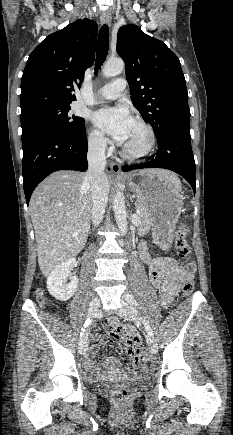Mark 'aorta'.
I'll list each match as a JSON object with an SVG mask.
<instances>
[{"mask_svg":"<svg viewBox=\"0 0 233 435\" xmlns=\"http://www.w3.org/2000/svg\"><path fill=\"white\" fill-rule=\"evenodd\" d=\"M124 70V62L122 59L108 60L103 68L104 77H113L119 75ZM113 209L117 226L122 235L127 233V212L125 206V197L123 192L119 189L116 191L113 202Z\"/></svg>","mask_w":233,"mask_h":435,"instance_id":"aorta-1","label":"aorta"}]
</instances>
